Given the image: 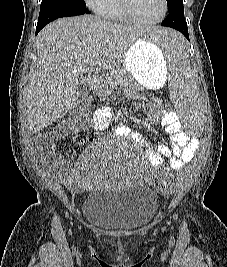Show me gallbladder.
<instances>
[{
    "mask_svg": "<svg viewBox=\"0 0 227 267\" xmlns=\"http://www.w3.org/2000/svg\"><path fill=\"white\" fill-rule=\"evenodd\" d=\"M85 87V82L84 81H80V89L82 90Z\"/></svg>",
    "mask_w": 227,
    "mask_h": 267,
    "instance_id": "1",
    "label": "gallbladder"
}]
</instances>
